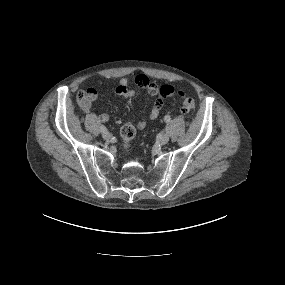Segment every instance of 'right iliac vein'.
I'll return each mask as SVG.
<instances>
[{"mask_svg":"<svg viewBox=\"0 0 285 285\" xmlns=\"http://www.w3.org/2000/svg\"><path fill=\"white\" fill-rule=\"evenodd\" d=\"M102 137H103L105 140H110L111 137H112V135H111L110 132L104 131V132H102Z\"/></svg>","mask_w":285,"mask_h":285,"instance_id":"1","label":"right iliac vein"}]
</instances>
